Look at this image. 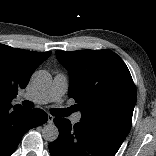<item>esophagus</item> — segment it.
I'll use <instances>...</instances> for the list:
<instances>
[{
	"instance_id": "esophagus-1",
	"label": "esophagus",
	"mask_w": 156,
	"mask_h": 156,
	"mask_svg": "<svg viewBox=\"0 0 156 156\" xmlns=\"http://www.w3.org/2000/svg\"><path fill=\"white\" fill-rule=\"evenodd\" d=\"M53 120H54V116H52V115H48V123H53Z\"/></svg>"
}]
</instances>
